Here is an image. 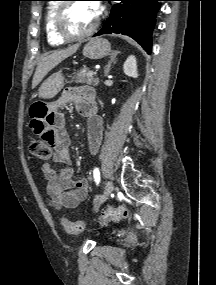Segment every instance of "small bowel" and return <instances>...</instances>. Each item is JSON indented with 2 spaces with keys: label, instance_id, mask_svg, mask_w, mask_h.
Segmentation results:
<instances>
[{
  "label": "small bowel",
  "instance_id": "small-bowel-1",
  "mask_svg": "<svg viewBox=\"0 0 216 285\" xmlns=\"http://www.w3.org/2000/svg\"><path fill=\"white\" fill-rule=\"evenodd\" d=\"M95 98L92 88L78 86L66 89L54 106L44 102H36L31 106V133L40 136V141H45V144L53 147V161L63 166L57 170L49 162L42 167V172L48 180V202L56 209L75 208L87 198L89 192L88 179L74 178L70 156L71 139L66 130L65 117L57 110V106L73 103L77 111L88 119L87 135L90 149L95 154L100 148L103 136L102 120L94 110Z\"/></svg>",
  "mask_w": 216,
  "mask_h": 285
}]
</instances>
